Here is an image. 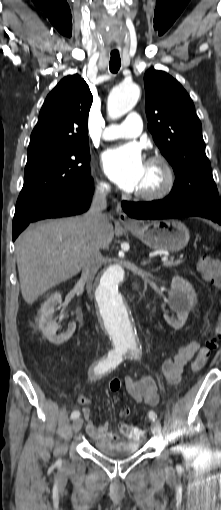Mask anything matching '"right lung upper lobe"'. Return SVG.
Returning a JSON list of instances; mask_svg holds the SVG:
<instances>
[{"label": "right lung upper lobe", "instance_id": "obj_1", "mask_svg": "<svg viewBox=\"0 0 221 510\" xmlns=\"http://www.w3.org/2000/svg\"><path fill=\"white\" fill-rule=\"evenodd\" d=\"M92 94L79 75L63 78L48 94L32 131L28 155L88 144V114Z\"/></svg>", "mask_w": 221, "mask_h": 510}]
</instances>
